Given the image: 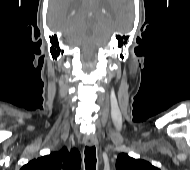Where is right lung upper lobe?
I'll return each mask as SVG.
<instances>
[{"label": "right lung upper lobe", "instance_id": "1", "mask_svg": "<svg viewBox=\"0 0 190 170\" xmlns=\"http://www.w3.org/2000/svg\"><path fill=\"white\" fill-rule=\"evenodd\" d=\"M81 156L77 149L69 152L63 148L60 152L33 159L24 165L21 170H79Z\"/></svg>", "mask_w": 190, "mask_h": 170}]
</instances>
